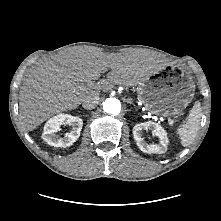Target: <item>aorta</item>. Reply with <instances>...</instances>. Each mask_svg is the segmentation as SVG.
<instances>
[{
	"label": "aorta",
	"instance_id": "1",
	"mask_svg": "<svg viewBox=\"0 0 221 221\" xmlns=\"http://www.w3.org/2000/svg\"><path fill=\"white\" fill-rule=\"evenodd\" d=\"M103 109L108 114L118 115L121 110L120 101L116 98H107L103 102Z\"/></svg>",
	"mask_w": 221,
	"mask_h": 221
}]
</instances>
